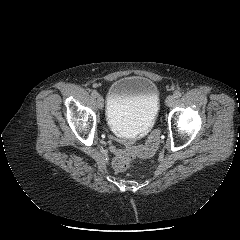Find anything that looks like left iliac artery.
Returning a JSON list of instances; mask_svg holds the SVG:
<instances>
[{
    "instance_id": "obj_1",
    "label": "left iliac artery",
    "mask_w": 240,
    "mask_h": 240,
    "mask_svg": "<svg viewBox=\"0 0 240 240\" xmlns=\"http://www.w3.org/2000/svg\"><path fill=\"white\" fill-rule=\"evenodd\" d=\"M174 96H175L176 98H180V97L182 96V93H181L180 91H176V92L174 93Z\"/></svg>"
}]
</instances>
